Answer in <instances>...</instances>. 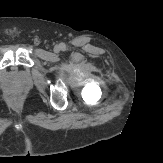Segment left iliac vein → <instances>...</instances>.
Returning a JSON list of instances; mask_svg holds the SVG:
<instances>
[{
    "mask_svg": "<svg viewBox=\"0 0 163 163\" xmlns=\"http://www.w3.org/2000/svg\"><path fill=\"white\" fill-rule=\"evenodd\" d=\"M59 51H60V46H55V47H54V52H55V53H58Z\"/></svg>",
    "mask_w": 163,
    "mask_h": 163,
    "instance_id": "1",
    "label": "left iliac vein"
}]
</instances>
